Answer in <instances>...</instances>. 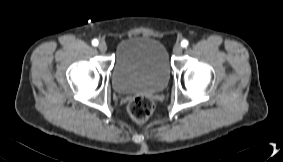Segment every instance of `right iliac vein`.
Wrapping results in <instances>:
<instances>
[{
  "label": "right iliac vein",
  "instance_id": "1",
  "mask_svg": "<svg viewBox=\"0 0 283 162\" xmlns=\"http://www.w3.org/2000/svg\"><path fill=\"white\" fill-rule=\"evenodd\" d=\"M98 49H99L101 52H106V50H107V45H106L104 42H101V43L98 45Z\"/></svg>",
  "mask_w": 283,
  "mask_h": 162
}]
</instances>
